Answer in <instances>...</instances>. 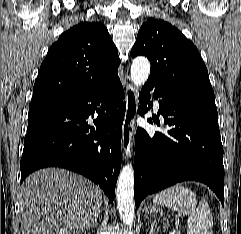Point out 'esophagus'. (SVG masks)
Listing matches in <instances>:
<instances>
[{
  "label": "esophagus",
  "mask_w": 241,
  "mask_h": 234,
  "mask_svg": "<svg viewBox=\"0 0 241 234\" xmlns=\"http://www.w3.org/2000/svg\"><path fill=\"white\" fill-rule=\"evenodd\" d=\"M126 112L122 125V150L125 158L131 156L133 135L135 130V115L138 108V92L130 83L126 85Z\"/></svg>",
  "instance_id": "obj_1"
}]
</instances>
